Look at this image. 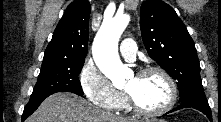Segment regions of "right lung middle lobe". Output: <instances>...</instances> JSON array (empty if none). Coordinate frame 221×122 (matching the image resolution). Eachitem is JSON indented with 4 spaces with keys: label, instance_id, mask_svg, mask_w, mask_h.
<instances>
[{
    "label": "right lung middle lobe",
    "instance_id": "right-lung-middle-lobe-1",
    "mask_svg": "<svg viewBox=\"0 0 221 122\" xmlns=\"http://www.w3.org/2000/svg\"><path fill=\"white\" fill-rule=\"evenodd\" d=\"M83 65L84 60L43 61L30 99L63 91L83 95L78 79Z\"/></svg>",
    "mask_w": 221,
    "mask_h": 122
}]
</instances>
